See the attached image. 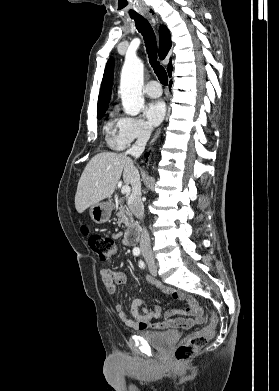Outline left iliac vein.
<instances>
[{
    "label": "left iliac vein",
    "mask_w": 279,
    "mask_h": 391,
    "mask_svg": "<svg viewBox=\"0 0 279 391\" xmlns=\"http://www.w3.org/2000/svg\"><path fill=\"white\" fill-rule=\"evenodd\" d=\"M148 268H149V271L150 273L153 275V276H156L157 275V267L155 265V263L153 261H150L148 263Z\"/></svg>",
    "instance_id": "4c4485c4"
}]
</instances>
